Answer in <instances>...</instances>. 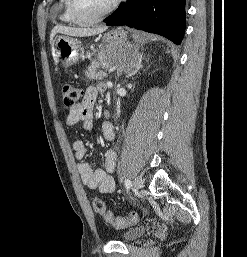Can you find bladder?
<instances>
[{
    "label": "bladder",
    "instance_id": "31cf9c89",
    "mask_svg": "<svg viewBox=\"0 0 247 257\" xmlns=\"http://www.w3.org/2000/svg\"><path fill=\"white\" fill-rule=\"evenodd\" d=\"M148 231V227L146 226H137L128 229L121 235V240L124 242H134L144 236Z\"/></svg>",
    "mask_w": 247,
    "mask_h": 257
}]
</instances>
